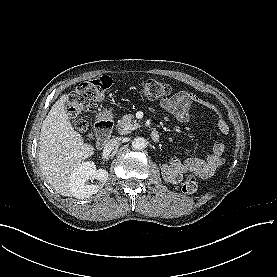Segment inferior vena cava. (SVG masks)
<instances>
[{
    "instance_id": "602c4592",
    "label": "inferior vena cava",
    "mask_w": 277,
    "mask_h": 277,
    "mask_svg": "<svg viewBox=\"0 0 277 277\" xmlns=\"http://www.w3.org/2000/svg\"><path fill=\"white\" fill-rule=\"evenodd\" d=\"M119 143H120V138L118 137L112 138L105 143L104 150L107 152H110L114 148H116L119 145Z\"/></svg>"
}]
</instances>
